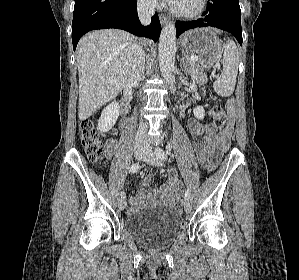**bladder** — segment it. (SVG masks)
I'll return each instance as SVG.
<instances>
[{
  "label": "bladder",
  "mask_w": 299,
  "mask_h": 280,
  "mask_svg": "<svg viewBox=\"0 0 299 280\" xmlns=\"http://www.w3.org/2000/svg\"><path fill=\"white\" fill-rule=\"evenodd\" d=\"M126 230L141 245L149 249L169 246L182 228V216L169 206L145 208L125 221Z\"/></svg>",
  "instance_id": "1"
}]
</instances>
